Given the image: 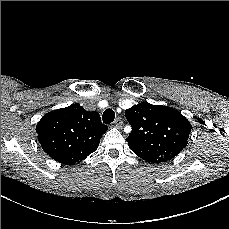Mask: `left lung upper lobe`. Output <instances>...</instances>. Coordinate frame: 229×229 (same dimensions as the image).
<instances>
[{
	"mask_svg": "<svg viewBox=\"0 0 229 229\" xmlns=\"http://www.w3.org/2000/svg\"><path fill=\"white\" fill-rule=\"evenodd\" d=\"M125 116L132 127L129 148L147 162L169 161L187 145L192 126L175 109L142 102L125 110Z\"/></svg>",
	"mask_w": 229,
	"mask_h": 229,
	"instance_id": "obj_1",
	"label": "left lung upper lobe"
}]
</instances>
